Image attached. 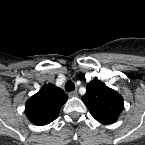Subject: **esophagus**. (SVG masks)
Returning a JSON list of instances; mask_svg holds the SVG:
<instances>
[{
    "label": "esophagus",
    "mask_w": 145,
    "mask_h": 145,
    "mask_svg": "<svg viewBox=\"0 0 145 145\" xmlns=\"http://www.w3.org/2000/svg\"><path fill=\"white\" fill-rule=\"evenodd\" d=\"M69 97H77L78 96V92L77 91H71L68 93Z\"/></svg>",
    "instance_id": "34e87169"
}]
</instances>
